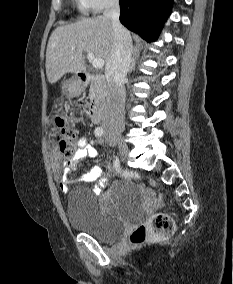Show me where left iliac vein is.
Masks as SVG:
<instances>
[{"mask_svg":"<svg viewBox=\"0 0 233 284\" xmlns=\"http://www.w3.org/2000/svg\"><path fill=\"white\" fill-rule=\"evenodd\" d=\"M108 141H109L110 144L115 145V142L112 140V138L109 137Z\"/></svg>","mask_w":233,"mask_h":284,"instance_id":"1","label":"left iliac vein"}]
</instances>
